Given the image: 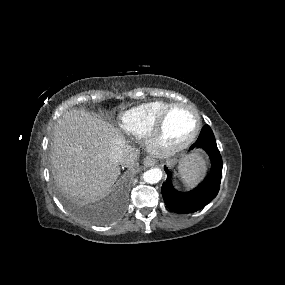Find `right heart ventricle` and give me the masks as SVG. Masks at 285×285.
<instances>
[{
  "mask_svg": "<svg viewBox=\"0 0 285 285\" xmlns=\"http://www.w3.org/2000/svg\"><path fill=\"white\" fill-rule=\"evenodd\" d=\"M172 104L156 100L134 106L120 115L118 125L126 134L142 138L153 127L159 116Z\"/></svg>",
  "mask_w": 285,
  "mask_h": 285,
  "instance_id": "right-heart-ventricle-1",
  "label": "right heart ventricle"
}]
</instances>
